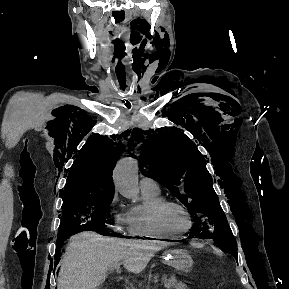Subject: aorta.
<instances>
[{"mask_svg":"<svg viewBox=\"0 0 289 289\" xmlns=\"http://www.w3.org/2000/svg\"><path fill=\"white\" fill-rule=\"evenodd\" d=\"M113 181L121 195L132 201L139 199L138 164L135 159H121L114 169Z\"/></svg>","mask_w":289,"mask_h":289,"instance_id":"762f6f07","label":"aorta"}]
</instances>
